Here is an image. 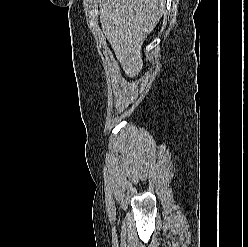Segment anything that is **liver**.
<instances>
[{"mask_svg":"<svg viewBox=\"0 0 248 247\" xmlns=\"http://www.w3.org/2000/svg\"><path fill=\"white\" fill-rule=\"evenodd\" d=\"M102 30L125 74L143 67L141 49L163 15L165 0H98Z\"/></svg>","mask_w":248,"mask_h":247,"instance_id":"obj_1","label":"liver"}]
</instances>
